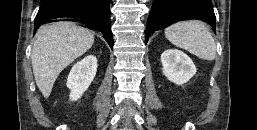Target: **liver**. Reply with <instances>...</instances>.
<instances>
[{
	"label": "liver",
	"mask_w": 257,
	"mask_h": 130,
	"mask_svg": "<svg viewBox=\"0 0 257 130\" xmlns=\"http://www.w3.org/2000/svg\"><path fill=\"white\" fill-rule=\"evenodd\" d=\"M94 43V34L72 22L42 26L32 49V68L36 84L45 98L50 96L56 78Z\"/></svg>",
	"instance_id": "1"
}]
</instances>
